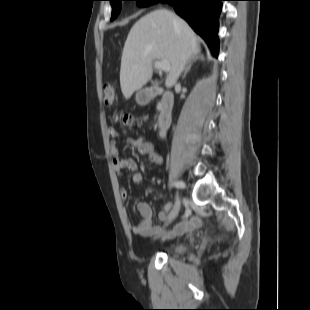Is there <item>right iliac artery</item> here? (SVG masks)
I'll return each mask as SVG.
<instances>
[{
    "label": "right iliac artery",
    "instance_id": "1",
    "mask_svg": "<svg viewBox=\"0 0 310 310\" xmlns=\"http://www.w3.org/2000/svg\"><path fill=\"white\" fill-rule=\"evenodd\" d=\"M177 188H185V183L184 182H176L173 184Z\"/></svg>",
    "mask_w": 310,
    "mask_h": 310
}]
</instances>
